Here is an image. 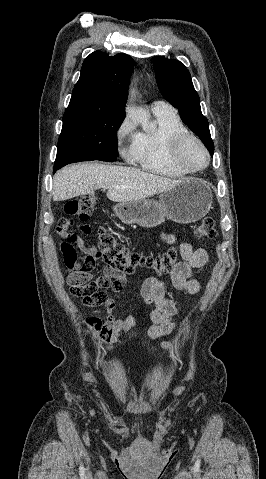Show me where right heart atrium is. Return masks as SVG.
Masks as SVG:
<instances>
[{
	"label": "right heart atrium",
	"mask_w": 266,
	"mask_h": 479,
	"mask_svg": "<svg viewBox=\"0 0 266 479\" xmlns=\"http://www.w3.org/2000/svg\"><path fill=\"white\" fill-rule=\"evenodd\" d=\"M135 136L134 126L130 119L126 118L116 131V140L121 147L123 156L129 160L132 159Z\"/></svg>",
	"instance_id": "obj_1"
}]
</instances>
